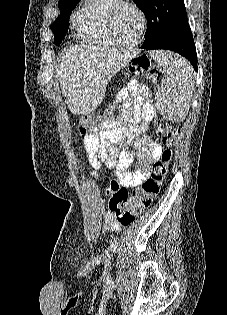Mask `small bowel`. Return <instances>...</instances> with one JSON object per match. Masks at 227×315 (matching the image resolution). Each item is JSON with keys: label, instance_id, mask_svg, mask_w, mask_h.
Instances as JSON below:
<instances>
[{"label": "small bowel", "instance_id": "small-bowel-1", "mask_svg": "<svg viewBox=\"0 0 227 315\" xmlns=\"http://www.w3.org/2000/svg\"><path fill=\"white\" fill-rule=\"evenodd\" d=\"M149 90L146 86L131 80L121 90L119 98L129 103L133 98L134 118L126 124L104 125L92 128L84 137V148L90 165V175L96 177V170L103 164L107 169L114 170L118 182L124 187H137L150 175L152 164L159 160L162 148L154 141L138 138L137 135L147 129V123H139L153 107L149 101ZM131 146V149H127ZM137 165L138 169L131 172L129 168ZM103 227L107 231H118L120 224L113 214L104 213Z\"/></svg>", "mask_w": 227, "mask_h": 315}]
</instances>
